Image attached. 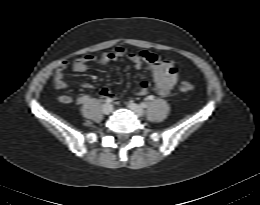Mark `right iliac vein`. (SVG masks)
Instances as JSON below:
<instances>
[{
    "label": "right iliac vein",
    "mask_w": 260,
    "mask_h": 205,
    "mask_svg": "<svg viewBox=\"0 0 260 205\" xmlns=\"http://www.w3.org/2000/svg\"><path fill=\"white\" fill-rule=\"evenodd\" d=\"M113 110V107L111 104H104L103 107H102V112L106 115L110 114Z\"/></svg>",
    "instance_id": "1"
}]
</instances>
